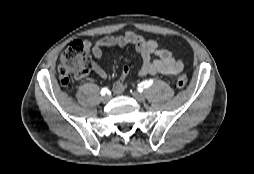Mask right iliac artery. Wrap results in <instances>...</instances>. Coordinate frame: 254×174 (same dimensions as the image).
<instances>
[{
    "instance_id": "right-iliac-artery-1",
    "label": "right iliac artery",
    "mask_w": 254,
    "mask_h": 174,
    "mask_svg": "<svg viewBox=\"0 0 254 174\" xmlns=\"http://www.w3.org/2000/svg\"><path fill=\"white\" fill-rule=\"evenodd\" d=\"M108 92H109V90L107 88H103L100 93L103 96V95H105Z\"/></svg>"
}]
</instances>
